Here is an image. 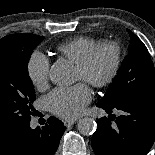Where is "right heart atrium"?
Masks as SVG:
<instances>
[{"instance_id": "obj_1", "label": "right heart atrium", "mask_w": 155, "mask_h": 155, "mask_svg": "<svg viewBox=\"0 0 155 155\" xmlns=\"http://www.w3.org/2000/svg\"><path fill=\"white\" fill-rule=\"evenodd\" d=\"M50 62L41 52L35 51L27 62V74L32 85L38 89H44L49 80Z\"/></svg>"}]
</instances>
